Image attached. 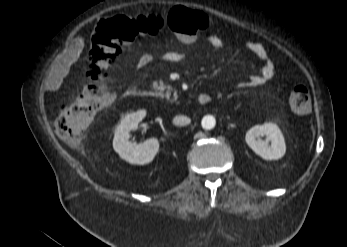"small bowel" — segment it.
<instances>
[{"label":"small bowel","mask_w":347,"mask_h":247,"mask_svg":"<svg viewBox=\"0 0 347 247\" xmlns=\"http://www.w3.org/2000/svg\"><path fill=\"white\" fill-rule=\"evenodd\" d=\"M184 42L190 43L192 41H184ZM208 42L215 49L222 48L224 45L222 38L217 35L209 36ZM246 47L260 61L261 67L259 72L257 74L250 76L249 79L244 83V85L250 86V87L261 86L274 76V73H275L274 62L270 58L265 47L261 43L256 41H249L247 42ZM82 49H83L82 40L80 39L75 40L72 46L70 47V49L67 50L65 54H63L61 59H57L53 62L50 69L51 70L50 78H51V82L55 85V87L58 86L63 74L68 69L70 62L80 54ZM162 59L165 62L175 63V62L182 61L184 59V55L178 51H168L163 55ZM151 61H152L151 55L143 54L140 57L136 68L138 70L143 69Z\"/></svg>","instance_id":"1"}]
</instances>
